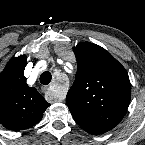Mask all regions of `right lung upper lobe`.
Returning <instances> with one entry per match:
<instances>
[{
	"instance_id": "right-lung-upper-lobe-1",
	"label": "right lung upper lobe",
	"mask_w": 145,
	"mask_h": 145,
	"mask_svg": "<svg viewBox=\"0 0 145 145\" xmlns=\"http://www.w3.org/2000/svg\"><path fill=\"white\" fill-rule=\"evenodd\" d=\"M27 57L12 58L0 74V124L19 131L37 124L50 105L24 77Z\"/></svg>"
}]
</instances>
